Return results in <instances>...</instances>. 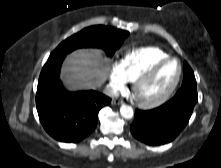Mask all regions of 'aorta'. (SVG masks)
Here are the masks:
<instances>
[{"mask_svg": "<svg viewBox=\"0 0 221 168\" xmlns=\"http://www.w3.org/2000/svg\"><path fill=\"white\" fill-rule=\"evenodd\" d=\"M121 116L125 119H131L133 117V109L131 106L122 105L120 108Z\"/></svg>", "mask_w": 221, "mask_h": 168, "instance_id": "aorta-1", "label": "aorta"}]
</instances>
